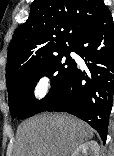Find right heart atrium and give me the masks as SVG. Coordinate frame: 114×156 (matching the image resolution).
Returning <instances> with one entry per match:
<instances>
[{
    "mask_svg": "<svg viewBox=\"0 0 114 156\" xmlns=\"http://www.w3.org/2000/svg\"><path fill=\"white\" fill-rule=\"evenodd\" d=\"M52 80L46 74L40 75L32 86V96L35 99H43L50 91Z\"/></svg>",
    "mask_w": 114,
    "mask_h": 156,
    "instance_id": "d8ad5b80",
    "label": "right heart atrium"
}]
</instances>
